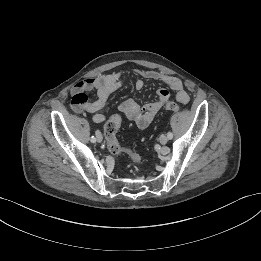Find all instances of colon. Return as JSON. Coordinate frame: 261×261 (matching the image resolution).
Segmentation results:
<instances>
[{"instance_id":"1","label":"colon","mask_w":261,"mask_h":261,"mask_svg":"<svg viewBox=\"0 0 261 261\" xmlns=\"http://www.w3.org/2000/svg\"><path fill=\"white\" fill-rule=\"evenodd\" d=\"M164 109L170 112H177L180 106L173 101H167L164 104ZM122 119L119 115H113L108 119L104 125V134L106 137L107 148L110 153L114 155H119L122 153L127 154L134 163H140V156L128 148L123 147L117 138V133L121 126Z\"/></svg>"}]
</instances>
